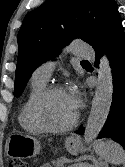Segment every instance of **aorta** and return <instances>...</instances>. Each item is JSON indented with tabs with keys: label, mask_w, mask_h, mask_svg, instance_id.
Here are the masks:
<instances>
[{
	"label": "aorta",
	"mask_w": 125,
	"mask_h": 167,
	"mask_svg": "<svg viewBox=\"0 0 125 167\" xmlns=\"http://www.w3.org/2000/svg\"><path fill=\"white\" fill-rule=\"evenodd\" d=\"M113 94V80L109 61L106 56L100 60L98 80L92 107L85 126L84 139L87 143L95 139L108 117Z\"/></svg>",
	"instance_id": "762f6f07"
}]
</instances>
